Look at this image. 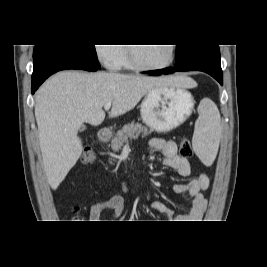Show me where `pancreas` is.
Wrapping results in <instances>:
<instances>
[{"label":"pancreas","mask_w":267,"mask_h":267,"mask_svg":"<svg viewBox=\"0 0 267 267\" xmlns=\"http://www.w3.org/2000/svg\"><path fill=\"white\" fill-rule=\"evenodd\" d=\"M153 130H149L139 123L132 122L131 124L125 125L121 130L117 132V135L113 138L111 142V148L114 152H118L123 144L128 141L129 138H136L141 133L143 136L151 134Z\"/></svg>","instance_id":"obj_1"}]
</instances>
